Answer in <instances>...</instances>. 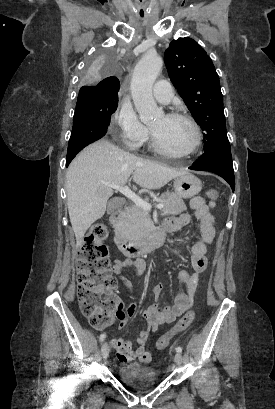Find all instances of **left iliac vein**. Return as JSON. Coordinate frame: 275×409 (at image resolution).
Masks as SVG:
<instances>
[{"mask_svg":"<svg viewBox=\"0 0 275 409\" xmlns=\"http://www.w3.org/2000/svg\"><path fill=\"white\" fill-rule=\"evenodd\" d=\"M183 362V356L180 352L175 354V363L176 365L180 366Z\"/></svg>","mask_w":275,"mask_h":409,"instance_id":"4c4485c4","label":"left iliac vein"}]
</instances>
